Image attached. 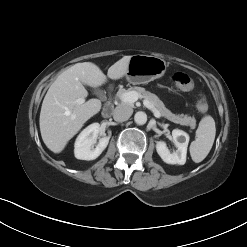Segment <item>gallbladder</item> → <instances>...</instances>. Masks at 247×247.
Here are the masks:
<instances>
[{
    "label": "gallbladder",
    "mask_w": 247,
    "mask_h": 247,
    "mask_svg": "<svg viewBox=\"0 0 247 247\" xmlns=\"http://www.w3.org/2000/svg\"><path fill=\"white\" fill-rule=\"evenodd\" d=\"M95 93H96V94H99V93H100V90L96 89V90H95Z\"/></svg>",
    "instance_id": "1"
}]
</instances>
